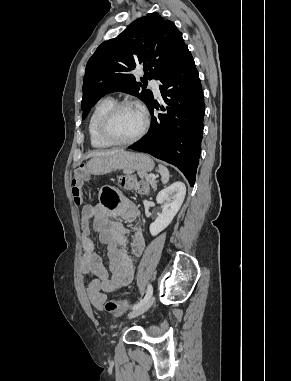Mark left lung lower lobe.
<instances>
[{
  "instance_id": "1",
  "label": "left lung lower lobe",
  "mask_w": 291,
  "mask_h": 381,
  "mask_svg": "<svg viewBox=\"0 0 291 381\" xmlns=\"http://www.w3.org/2000/svg\"><path fill=\"white\" fill-rule=\"evenodd\" d=\"M159 80L166 104V108L161 109L167 113L156 118L152 99L148 105L151 128L128 148L175 165L193 186L201 152L205 108L201 82L188 47ZM154 107L157 108L155 103Z\"/></svg>"
}]
</instances>
